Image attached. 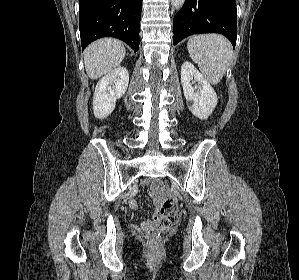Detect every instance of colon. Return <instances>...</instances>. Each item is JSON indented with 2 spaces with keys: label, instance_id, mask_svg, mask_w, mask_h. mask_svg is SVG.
Masks as SVG:
<instances>
[{
  "label": "colon",
  "instance_id": "5ec220e1",
  "mask_svg": "<svg viewBox=\"0 0 299 280\" xmlns=\"http://www.w3.org/2000/svg\"><path fill=\"white\" fill-rule=\"evenodd\" d=\"M161 191H165L166 187L161 182L159 184ZM180 220V213L176 209L171 208V203L166 201L164 209L156 215L153 223L150 225L147 231L148 241L152 246L157 245L161 232L175 224Z\"/></svg>",
  "mask_w": 299,
  "mask_h": 280
}]
</instances>
